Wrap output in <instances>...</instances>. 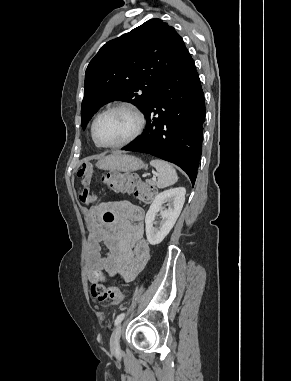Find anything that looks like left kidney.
Returning <instances> with one entry per match:
<instances>
[{
	"label": "left kidney",
	"mask_w": 291,
	"mask_h": 381,
	"mask_svg": "<svg viewBox=\"0 0 291 381\" xmlns=\"http://www.w3.org/2000/svg\"><path fill=\"white\" fill-rule=\"evenodd\" d=\"M185 194L186 189L178 187L165 190L156 195L145 217L146 236L151 245L161 243L169 234L183 208ZM166 202H168V208L163 207ZM160 209H162V221L159 227H154L155 217Z\"/></svg>",
	"instance_id": "1"
}]
</instances>
